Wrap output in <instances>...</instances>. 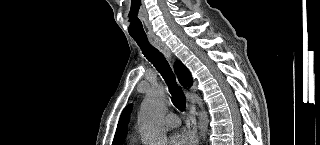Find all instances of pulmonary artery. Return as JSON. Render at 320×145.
Wrapping results in <instances>:
<instances>
[{"instance_id":"pulmonary-artery-1","label":"pulmonary artery","mask_w":320,"mask_h":145,"mask_svg":"<svg viewBox=\"0 0 320 145\" xmlns=\"http://www.w3.org/2000/svg\"><path fill=\"white\" fill-rule=\"evenodd\" d=\"M180 123H181L180 118L173 113L166 115L164 118V124L169 128L178 127Z\"/></svg>"}]
</instances>
